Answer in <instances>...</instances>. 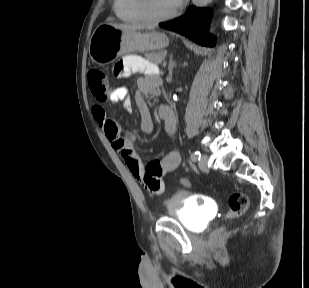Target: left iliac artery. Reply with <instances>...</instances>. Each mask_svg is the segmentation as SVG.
<instances>
[{"label":"left iliac artery","instance_id":"1","mask_svg":"<svg viewBox=\"0 0 309 288\" xmlns=\"http://www.w3.org/2000/svg\"><path fill=\"white\" fill-rule=\"evenodd\" d=\"M200 157H201L200 151L196 150L192 153L190 158L192 161H197V160H200Z\"/></svg>","mask_w":309,"mask_h":288}]
</instances>
